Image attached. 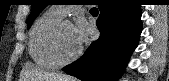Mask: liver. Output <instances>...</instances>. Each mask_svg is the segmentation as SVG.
Here are the masks:
<instances>
[{"label":"liver","mask_w":169,"mask_h":81,"mask_svg":"<svg viewBox=\"0 0 169 81\" xmlns=\"http://www.w3.org/2000/svg\"><path fill=\"white\" fill-rule=\"evenodd\" d=\"M23 71L25 81H75L71 76L62 73L41 71L33 66H25Z\"/></svg>","instance_id":"liver-1"}]
</instances>
